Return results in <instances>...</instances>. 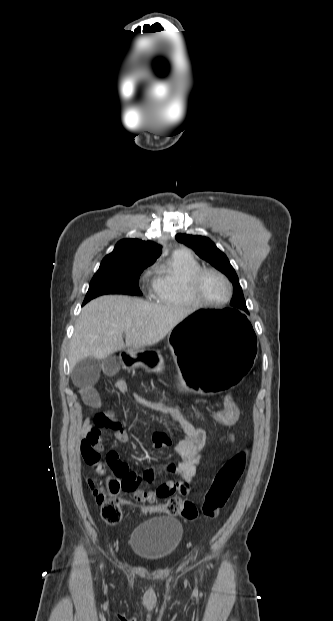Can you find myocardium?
<instances>
[{"instance_id": "myocardium-1", "label": "myocardium", "mask_w": 333, "mask_h": 621, "mask_svg": "<svg viewBox=\"0 0 333 621\" xmlns=\"http://www.w3.org/2000/svg\"><path fill=\"white\" fill-rule=\"evenodd\" d=\"M206 274H214L220 277L227 285L228 293H227V296L223 300L210 301V300L203 298L201 294L199 293L200 281L203 278V276ZM188 292H189L191 299L193 300L195 304L209 306V307H217V306H223L230 301L233 295V285L230 279L223 272L217 269H214V268H200L198 271H196L191 276L188 282Z\"/></svg>"}]
</instances>
